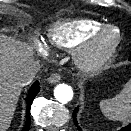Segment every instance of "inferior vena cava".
Here are the masks:
<instances>
[{"mask_svg": "<svg viewBox=\"0 0 131 131\" xmlns=\"http://www.w3.org/2000/svg\"><path fill=\"white\" fill-rule=\"evenodd\" d=\"M39 69L40 67L37 61L32 60L31 62H29L18 75L19 83L22 86L31 83Z\"/></svg>", "mask_w": 131, "mask_h": 131, "instance_id": "inferior-vena-cava-1", "label": "inferior vena cava"}]
</instances>
